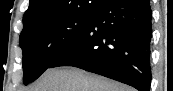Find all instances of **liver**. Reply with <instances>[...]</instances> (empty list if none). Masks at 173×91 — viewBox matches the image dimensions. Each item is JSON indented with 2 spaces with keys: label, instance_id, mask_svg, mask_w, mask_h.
I'll list each match as a JSON object with an SVG mask.
<instances>
[{
  "label": "liver",
  "instance_id": "6515ba94",
  "mask_svg": "<svg viewBox=\"0 0 173 91\" xmlns=\"http://www.w3.org/2000/svg\"><path fill=\"white\" fill-rule=\"evenodd\" d=\"M26 91H133L132 88L76 67L46 70Z\"/></svg>",
  "mask_w": 173,
  "mask_h": 91
}]
</instances>
